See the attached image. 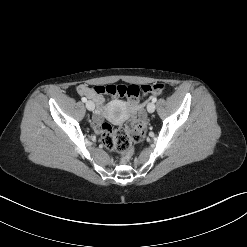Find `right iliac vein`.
<instances>
[{
    "instance_id": "63e3f726",
    "label": "right iliac vein",
    "mask_w": 247,
    "mask_h": 247,
    "mask_svg": "<svg viewBox=\"0 0 247 247\" xmlns=\"http://www.w3.org/2000/svg\"><path fill=\"white\" fill-rule=\"evenodd\" d=\"M86 108L89 110V111H93L95 109V104L93 101L89 100L86 102Z\"/></svg>"
}]
</instances>
